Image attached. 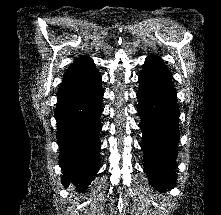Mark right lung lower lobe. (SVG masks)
Wrapping results in <instances>:
<instances>
[{
  "mask_svg": "<svg viewBox=\"0 0 221 215\" xmlns=\"http://www.w3.org/2000/svg\"><path fill=\"white\" fill-rule=\"evenodd\" d=\"M94 69L63 81L55 109L62 183L87 188L98 172L103 90Z\"/></svg>",
  "mask_w": 221,
  "mask_h": 215,
  "instance_id": "right-lung-lower-lobe-1",
  "label": "right lung lower lobe"
}]
</instances>
